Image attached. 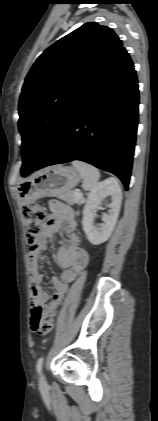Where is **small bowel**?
<instances>
[{
	"mask_svg": "<svg viewBox=\"0 0 158 421\" xmlns=\"http://www.w3.org/2000/svg\"><path fill=\"white\" fill-rule=\"evenodd\" d=\"M52 213L47 217L41 232L40 242L36 249L29 254V270L31 276V327L37 325L47 316H54L58 305L62 302L67 290L68 283L81 272L89 262L88 253L80 246L77 233L78 222L75 212L62 203L51 205ZM64 228L68 236V244L58 248L56 261L62 272L52 279L54 294L51 302L45 291L43 274L39 262L46 249L47 241L53 238L56 231Z\"/></svg>",
	"mask_w": 158,
	"mask_h": 421,
	"instance_id": "small-bowel-1",
	"label": "small bowel"
}]
</instances>
